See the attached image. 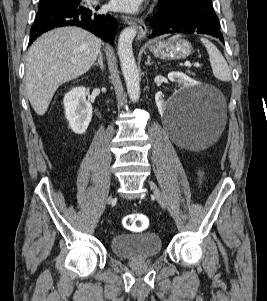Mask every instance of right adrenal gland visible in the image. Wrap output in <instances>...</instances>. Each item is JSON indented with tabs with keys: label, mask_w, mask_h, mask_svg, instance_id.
Returning a JSON list of instances; mask_svg holds the SVG:
<instances>
[{
	"label": "right adrenal gland",
	"mask_w": 267,
	"mask_h": 301,
	"mask_svg": "<svg viewBox=\"0 0 267 301\" xmlns=\"http://www.w3.org/2000/svg\"><path fill=\"white\" fill-rule=\"evenodd\" d=\"M94 66L100 67V69L103 71L105 69L104 67V58H103V54L100 51L99 55H98V61L96 63H94Z\"/></svg>",
	"instance_id": "obj_1"
}]
</instances>
